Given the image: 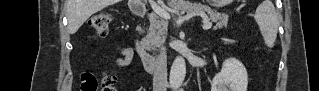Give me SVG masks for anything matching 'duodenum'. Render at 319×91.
<instances>
[{"label": "duodenum", "mask_w": 319, "mask_h": 91, "mask_svg": "<svg viewBox=\"0 0 319 91\" xmlns=\"http://www.w3.org/2000/svg\"><path fill=\"white\" fill-rule=\"evenodd\" d=\"M134 13L143 18L147 14V10L143 5H136L133 8ZM136 53L147 72H152L156 68L157 58L147 51L146 43L142 35H137L134 40Z\"/></svg>", "instance_id": "duodenum-1"}]
</instances>
